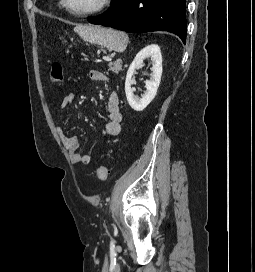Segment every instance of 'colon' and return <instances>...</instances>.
<instances>
[{
  "label": "colon",
  "mask_w": 255,
  "mask_h": 272,
  "mask_svg": "<svg viewBox=\"0 0 255 272\" xmlns=\"http://www.w3.org/2000/svg\"><path fill=\"white\" fill-rule=\"evenodd\" d=\"M49 79L52 84H61L63 82V69L60 63L52 64ZM96 174L99 180L104 181L109 175L108 168L105 165H100L97 168Z\"/></svg>",
  "instance_id": "5ec220e1"
}]
</instances>
